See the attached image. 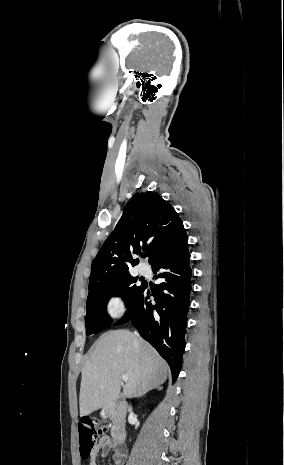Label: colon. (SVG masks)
<instances>
[{"label": "colon", "instance_id": "colon-1", "mask_svg": "<svg viewBox=\"0 0 284 465\" xmlns=\"http://www.w3.org/2000/svg\"><path fill=\"white\" fill-rule=\"evenodd\" d=\"M78 433L80 438V457L83 460H88L91 456L94 443L101 437V432L96 430L93 422H80Z\"/></svg>", "mask_w": 284, "mask_h": 465}]
</instances>
